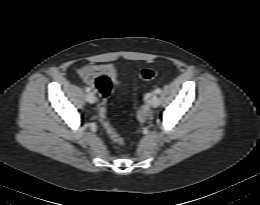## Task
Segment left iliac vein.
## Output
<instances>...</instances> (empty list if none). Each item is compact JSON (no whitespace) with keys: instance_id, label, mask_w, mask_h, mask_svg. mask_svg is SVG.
Segmentation results:
<instances>
[{"instance_id":"left-iliac-vein-1","label":"left iliac vein","mask_w":260,"mask_h":205,"mask_svg":"<svg viewBox=\"0 0 260 205\" xmlns=\"http://www.w3.org/2000/svg\"><path fill=\"white\" fill-rule=\"evenodd\" d=\"M160 103L159 97L156 94H153L149 100V104L153 107L156 108L158 107Z\"/></svg>"}]
</instances>
